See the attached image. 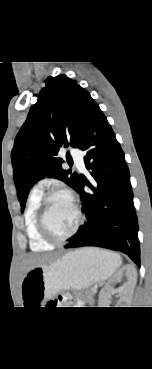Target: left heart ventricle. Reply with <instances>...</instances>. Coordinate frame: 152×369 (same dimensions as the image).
Returning <instances> with one entry per match:
<instances>
[{"label": "left heart ventricle", "instance_id": "b2bd125f", "mask_svg": "<svg viewBox=\"0 0 152 369\" xmlns=\"http://www.w3.org/2000/svg\"><path fill=\"white\" fill-rule=\"evenodd\" d=\"M74 206L66 196L59 195L51 199L48 205L47 223L53 234L65 236L76 224Z\"/></svg>", "mask_w": 152, "mask_h": 369}]
</instances>
